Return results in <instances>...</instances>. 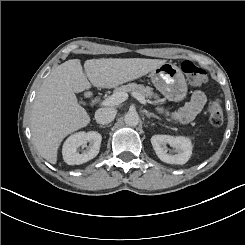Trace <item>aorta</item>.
<instances>
[{"label":"aorta","instance_id":"1","mask_svg":"<svg viewBox=\"0 0 245 245\" xmlns=\"http://www.w3.org/2000/svg\"><path fill=\"white\" fill-rule=\"evenodd\" d=\"M124 121L126 125L134 127L139 123V116L136 112H128L124 116Z\"/></svg>","mask_w":245,"mask_h":245}]
</instances>
